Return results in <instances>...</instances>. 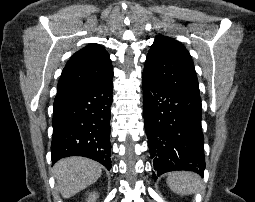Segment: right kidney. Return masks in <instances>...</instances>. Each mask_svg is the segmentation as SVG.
Returning <instances> with one entry per match:
<instances>
[{"label":"right kidney","mask_w":255,"mask_h":202,"mask_svg":"<svg viewBox=\"0 0 255 202\" xmlns=\"http://www.w3.org/2000/svg\"><path fill=\"white\" fill-rule=\"evenodd\" d=\"M97 197H98V195L96 192L89 193L87 202H96Z\"/></svg>","instance_id":"ca27d5eb"}]
</instances>
